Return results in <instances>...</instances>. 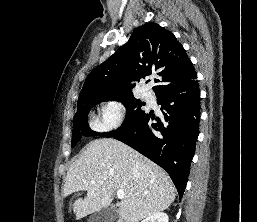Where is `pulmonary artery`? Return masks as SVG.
<instances>
[{"label": "pulmonary artery", "instance_id": "e3ab8cb5", "mask_svg": "<svg viewBox=\"0 0 257 222\" xmlns=\"http://www.w3.org/2000/svg\"><path fill=\"white\" fill-rule=\"evenodd\" d=\"M143 97L145 98V99H151V97H152V93L150 92V91H144L143 92Z\"/></svg>", "mask_w": 257, "mask_h": 222}]
</instances>
